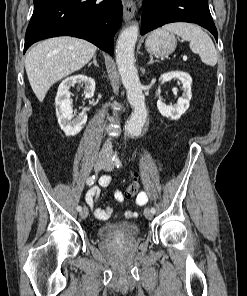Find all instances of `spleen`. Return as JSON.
<instances>
[{
  "instance_id": "3e777b00",
  "label": "spleen",
  "mask_w": 247,
  "mask_h": 296,
  "mask_svg": "<svg viewBox=\"0 0 247 296\" xmlns=\"http://www.w3.org/2000/svg\"><path fill=\"white\" fill-rule=\"evenodd\" d=\"M163 30L172 32L182 40L190 42L193 53L199 54L201 61L208 66H215L218 60L213 41L199 26L191 23L176 22L164 25Z\"/></svg>"
}]
</instances>
